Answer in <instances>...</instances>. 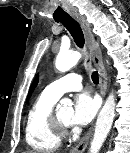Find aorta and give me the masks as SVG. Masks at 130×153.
<instances>
[{
  "instance_id": "obj_1",
  "label": "aorta",
  "mask_w": 130,
  "mask_h": 153,
  "mask_svg": "<svg viewBox=\"0 0 130 153\" xmlns=\"http://www.w3.org/2000/svg\"><path fill=\"white\" fill-rule=\"evenodd\" d=\"M81 59V53L78 51L73 52H60L55 61L56 69L60 72H67L74 67ZM115 96L111 93L106 99L102 107L95 126L93 140L91 141L89 153H98L103 142L105 141L113 123L115 116ZM59 108L72 109V101L69 98H63L58 105Z\"/></svg>"
}]
</instances>
